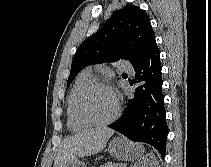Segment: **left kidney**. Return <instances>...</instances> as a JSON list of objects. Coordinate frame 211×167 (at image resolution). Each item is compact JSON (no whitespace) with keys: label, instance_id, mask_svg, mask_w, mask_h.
Here are the masks:
<instances>
[{"label":"left kidney","instance_id":"1","mask_svg":"<svg viewBox=\"0 0 211 167\" xmlns=\"http://www.w3.org/2000/svg\"><path fill=\"white\" fill-rule=\"evenodd\" d=\"M133 167H160L154 154L150 153L136 162Z\"/></svg>","mask_w":211,"mask_h":167}]
</instances>
